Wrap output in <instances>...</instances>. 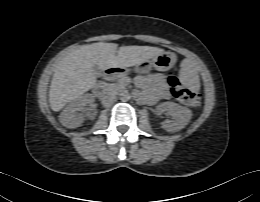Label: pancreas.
I'll use <instances>...</instances> for the list:
<instances>
[{"label": "pancreas", "mask_w": 260, "mask_h": 202, "mask_svg": "<svg viewBox=\"0 0 260 202\" xmlns=\"http://www.w3.org/2000/svg\"><path fill=\"white\" fill-rule=\"evenodd\" d=\"M125 85L124 83V79H120L118 82L116 83H111V84H108V83H105L104 84V87L107 91L109 92H117L119 91L121 88H123Z\"/></svg>", "instance_id": "obj_1"}]
</instances>
